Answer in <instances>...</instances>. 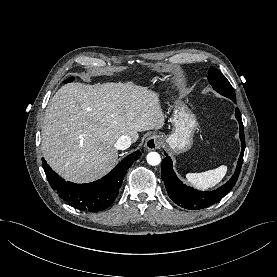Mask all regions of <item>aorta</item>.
Returning <instances> with one entry per match:
<instances>
[{
	"label": "aorta",
	"instance_id": "obj_1",
	"mask_svg": "<svg viewBox=\"0 0 277 277\" xmlns=\"http://www.w3.org/2000/svg\"><path fill=\"white\" fill-rule=\"evenodd\" d=\"M147 162L152 166L158 165L161 162L160 155L157 152L148 153Z\"/></svg>",
	"mask_w": 277,
	"mask_h": 277
}]
</instances>
